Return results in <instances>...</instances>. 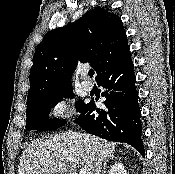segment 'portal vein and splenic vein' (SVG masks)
<instances>
[{
  "mask_svg": "<svg viewBox=\"0 0 175 174\" xmlns=\"http://www.w3.org/2000/svg\"><path fill=\"white\" fill-rule=\"evenodd\" d=\"M67 159H68V161H69L70 163H74V164H77V165L79 164L78 159L75 158V157H68ZM79 174H86V172H85V170L81 169V170L79 171Z\"/></svg>",
  "mask_w": 175,
  "mask_h": 174,
  "instance_id": "1",
  "label": "portal vein and splenic vein"
}]
</instances>
